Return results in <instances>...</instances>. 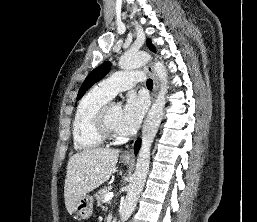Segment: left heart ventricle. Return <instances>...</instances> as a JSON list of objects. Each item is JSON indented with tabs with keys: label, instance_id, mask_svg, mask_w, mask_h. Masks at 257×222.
<instances>
[{
	"label": "left heart ventricle",
	"instance_id": "obj_1",
	"mask_svg": "<svg viewBox=\"0 0 257 222\" xmlns=\"http://www.w3.org/2000/svg\"><path fill=\"white\" fill-rule=\"evenodd\" d=\"M122 109L120 106L114 104L110 110L109 123L111 127L118 131V123L121 117Z\"/></svg>",
	"mask_w": 257,
	"mask_h": 222
}]
</instances>
